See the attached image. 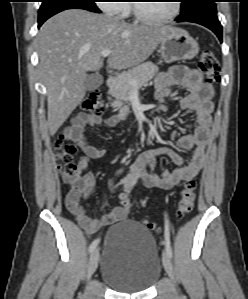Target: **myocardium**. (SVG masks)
Masks as SVG:
<instances>
[{"mask_svg": "<svg viewBox=\"0 0 248 299\" xmlns=\"http://www.w3.org/2000/svg\"><path fill=\"white\" fill-rule=\"evenodd\" d=\"M133 13L136 17V19L142 23L146 24H162V23H167L169 21L174 20L180 13L181 10V3L179 0H173V11L171 14L165 17L161 18H154L145 15L141 9H140V4L139 3H134L132 6Z\"/></svg>", "mask_w": 248, "mask_h": 299, "instance_id": "1", "label": "myocardium"}]
</instances>
